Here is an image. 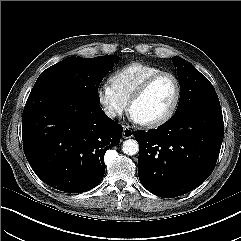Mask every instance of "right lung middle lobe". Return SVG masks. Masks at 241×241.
<instances>
[{"instance_id": "1", "label": "right lung middle lobe", "mask_w": 241, "mask_h": 241, "mask_svg": "<svg viewBox=\"0 0 241 241\" xmlns=\"http://www.w3.org/2000/svg\"><path fill=\"white\" fill-rule=\"evenodd\" d=\"M120 60L117 56L84 59L69 57L44 70L30 94L49 88H66L99 104L98 87L103 77Z\"/></svg>"}]
</instances>
